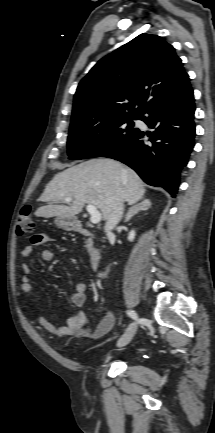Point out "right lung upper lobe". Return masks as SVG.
<instances>
[{"mask_svg":"<svg viewBox=\"0 0 215 433\" xmlns=\"http://www.w3.org/2000/svg\"><path fill=\"white\" fill-rule=\"evenodd\" d=\"M189 82L172 45L140 34L102 58L74 96L71 125L142 116L155 101Z\"/></svg>","mask_w":215,"mask_h":433,"instance_id":"cb5924a9","label":"right lung upper lobe"}]
</instances>
